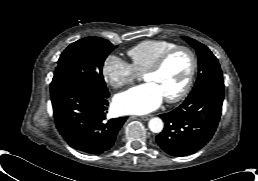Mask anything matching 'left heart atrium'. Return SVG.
I'll return each mask as SVG.
<instances>
[{"mask_svg":"<svg viewBox=\"0 0 258 181\" xmlns=\"http://www.w3.org/2000/svg\"><path fill=\"white\" fill-rule=\"evenodd\" d=\"M164 99L159 87L147 82L115 96L114 108L121 114L142 115L157 109Z\"/></svg>","mask_w":258,"mask_h":181,"instance_id":"obj_1","label":"left heart atrium"}]
</instances>
